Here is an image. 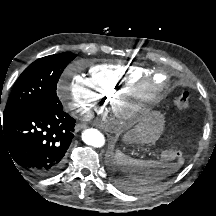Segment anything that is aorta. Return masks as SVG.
<instances>
[{"label":"aorta","mask_w":216,"mask_h":216,"mask_svg":"<svg viewBox=\"0 0 216 216\" xmlns=\"http://www.w3.org/2000/svg\"><path fill=\"white\" fill-rule=\"evenodd\" d=\"M82 140L85 144L95 148L103 147L105 144L104 135L97 129L93 128H89L83 131Z\"/></svg>","instance_id":"aorta-1"}]
</instances>
